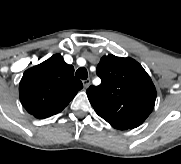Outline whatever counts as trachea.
<instances>
[{"label":"trachea","mask_w":181,"mask_h":164,"mask_svg":"<svg viewBox=\"0 0 181 164\" xmlns=\"http://www.w3.org/2000/svg\"><path fill=\"white\" fill-rule=\"evenodd\" d=\"M75 76L78 77V78H80V79L86 80L87 77H88L87 69L84 68V67L79 68V69L76 71Z\"/></svg>","instance_id":"obj_1"}]
</instances>
